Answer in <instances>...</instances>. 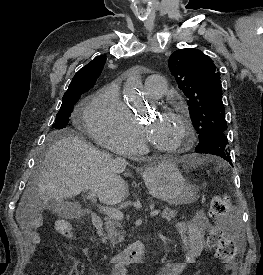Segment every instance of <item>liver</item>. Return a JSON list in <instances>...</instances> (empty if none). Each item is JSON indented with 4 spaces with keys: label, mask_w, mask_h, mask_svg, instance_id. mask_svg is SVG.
<instances>
[{
    "label": "liver",
    "mask_w": 263,
    "mask_h": 275,
    "mask_svg": "<svg viewBox=\"0 0 263 275\" xmlns=\"http://www.w3.org/2000/svg\"><path fill=\"white\" fill-rule=\"evenodd\" d=\"M50 141L38 178L37 195L29 186L21 198L16 212L19 223L22 213L39 211L50 199L72 198L87 190L107 205H116L127 198L128 188L119 175L126 162L96 150L72 130L56 132ZM177 161L198 162L192 155Z\"/></svg>",
    "instance_id": "1"
}]
</instances>
